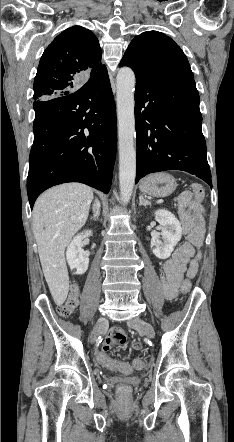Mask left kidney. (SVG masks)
<instances>
[{
	"label": "left kidney",
	"instance_id": "5707ae66",
	"mask_svg": "<svg viewBox=\"0 0 234 442\" xmlns=\"http://www.w3.org/2000/svg\"><path fill=\"white\" fill-rule=\"evenodd\" d=\"M154 215L160 224L161 233L151 239L152 252L159 259H167L181 240V224L168 210H157Z\"/></svg>",
	"mask_w": 234,
	"mask_h": 442
}]
</instances>
